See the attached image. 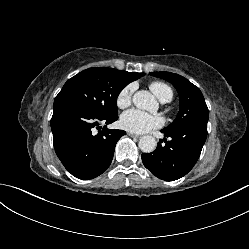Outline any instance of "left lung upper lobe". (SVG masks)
Segmentation results:
<instances>
[{
  "mask_svg": "<svg viewBox=\"0 0 249 249\" xmlns=\"http://www.w3.org/2000/svg\"><path fill=\"white\" fill-rule=\"evenodd\" d=\"M150 75L170 82L177 90L180 108L176 119L166 128L165 132L175 131L182 127L204 123L207 124L209 111L202 92L185 77L170 72H151Z\"/></svg>",
  "mask_w": 249,
  "mask_h": 249,
  "instance_id": "left-lung-upper-lobe-1",
  "label": "left lung upper lobe"
}]
</instances>
